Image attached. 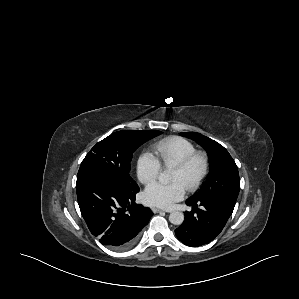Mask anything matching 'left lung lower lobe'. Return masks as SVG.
Returning <instances> with one entry per match:
<instances>
[{
	"label": "left lung lower lobe",
	"mask_w": 299,
	"mask_h": 299,
	"mask_svg": "<svg viewBox=\"0 0 299 299\" xmlns=\"http://www.w3.org/2000/svg\"><path fill=\"white\" fill-rule=\"evenodd\" d=\"M186 204L192 206L193 211L185 212V220L175 234L185 245L194 247L211 242L222 231L234 209L217 199H188ZM198 205L202 209H198Z\"/></svg>",
	"instance_id": "0a47b994"
}]
</instances>
